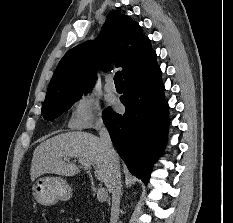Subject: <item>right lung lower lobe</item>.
Wrapping results in <instances>:
<instances>
[{
	"instance_id": "obj_1",
	"label": "right lung lower lobe",
	"mask_w": 233,
	"mask_h": 223,
	"mask_svg": "<svg viewBox=\"0 0 233 223\" xmlns=\"http://www.w3.org/2000/svg\"><path fill=\"white\" fill-rule=\"evenodd\" d=\"M125 113L103 112L111 140L130 172L147 183L168 133V104L157 62L124 80Z\"/></svg>"
}]
</instances>
